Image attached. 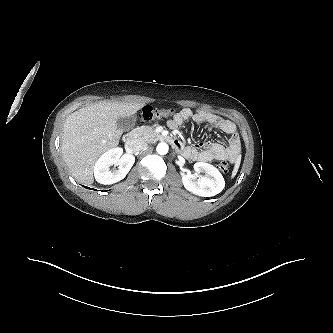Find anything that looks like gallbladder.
Here are the masks:
<instances>
[{
  "instance_id": "gallbladder-1",
  "label": "gallbladder",
  "mask_w": 333,
  "mask_h": 333,
  "mask_svg": "<svg viewBox=\"0 0 333 333\" xmlns=\"http://www.w3.org/2000/svg\"><path fill=\"white\" fill-rule=\"evenodd\" d=\"M136 123L135 116H126V117H119L117 119L116 125L117 128L121 131H129L131 130Z\"/></svg>"
}]
</instances>
